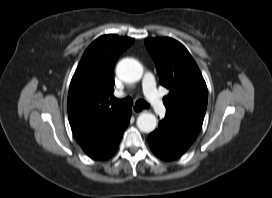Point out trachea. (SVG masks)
<instances>
[{
  "mask_svg": "<svg viewBox=\"0 0 272 198\" xmlns=\"http://www.w3.org/2000/svg\"><path fill=\"white\" fill-rule=\"evenodd\" d=\"M112 101L116 102L118 104H121L123 106H127V107H131L133 105V100L131 97H126L125 99H122V100H118L113 97ZM136 105L141 108H149L150 107V105L142 99L137 100Z\"/></svg>",
  "mask_w": 272,
  "mask_h": 198,
  "instance_id": "obj_1",
  "label": "trachea"
}]
</instances>
